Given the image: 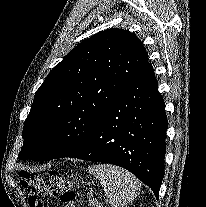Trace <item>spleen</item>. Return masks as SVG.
Wrapping results in <instances>:
<instances>
[{
	"mask_svg": "<svg viewBox=\"0 0 206 207\" xmlns=\"http://www.w3.org/2000/svg\"><path fill=\"white\" fill-rule=\"evenodd\" d=\"M88 172L100 181L105 196L112 207L125 206L138 195L139 181L123 168L108 164H97L89 166Z\"/></svg>",
	"mask_w": 206,
	"mask_h": 207,
	"instance_id": "obj_1",
	"label": "spleen"
}]
</instances>
